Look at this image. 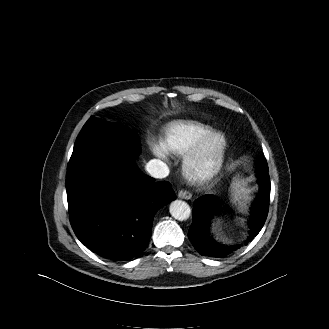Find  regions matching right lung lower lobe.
I'll return each mask as SVG.
<instances>
[{
	"label": "right lung lower lobe",
	"instance_id": "right-lung-lower-lobe-1",
	"mask_svg": "<svg viewBox=\"0 0 329 329\" xmlns=\"http://www.w3.org/2000/svg\"><path fill=\"white\" fill-rule=\"evenodd\" d=\"M66 191L77 238L114 261L132 259L147 247L155 213L175 199L170 183L154 182L135 158L113 151L67 169Z\"/></svg>",
	"mask_w": 329,
	"mask_h": 329
}]
</instances>
